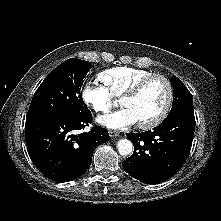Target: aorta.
Here are the masks:
<instances>
[{
  "mask_svg": "<svg viewBox=\"0 0 221 221\" xmlns=\"http://www.w3.org/2000/svg\"><path fill=\"white\" fill-rule=\"evenodd\" d=\"M117 149L120 155L127 156L133 151V144L128 139H121L117 143Z\"/></svg>",
  "mask_w": 221,
  "mask_h": 221,
  "instance_id": "1",
  "label": "aorta"
}]
</instances>
